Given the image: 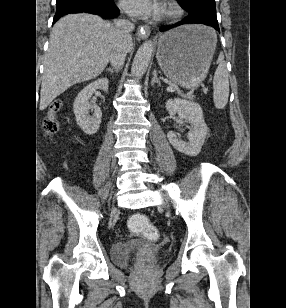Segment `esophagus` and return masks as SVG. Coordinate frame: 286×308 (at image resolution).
<instances>
[{
    "label": "esophagus",
    "instance_id": "obj_1",
    "mask_svg": "<svg viewBox=\"0 0 286 308\" xmlns=\"http://www.w3.org/2000/svg\"><path fill=\"white\" fill-rule=\"evenodd\" d=\"M150 33H151L150 27L148 25H143L138 28L136 35L140 39H146L149 37Z\"/></svg>",
    "mask_w": 286,
    "mask_h": 308
}]
</instances>
